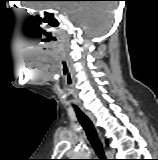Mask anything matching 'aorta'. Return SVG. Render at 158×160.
I'll return each mask as SVG.
<instances>
[{"mask_svg": "<svg viewBox=\"0 0 158 160\" xmlns=\"http://www.w3.org/2000/svg\"><path fill=\"white\" fill-rule=\"evenodd\" d=\"M89 156H90L89 150L85 147H80L75 152L73 159H89L88 158Z\"/></svg>", "mask_w": 158, "mask_h": 160, "instance_id": "1", "label": "aorta"}]
</instances>
